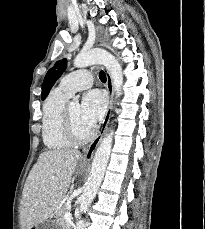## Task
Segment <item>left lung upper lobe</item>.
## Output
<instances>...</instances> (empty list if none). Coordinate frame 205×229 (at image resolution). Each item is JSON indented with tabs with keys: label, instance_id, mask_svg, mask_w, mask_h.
<instances>
[{
	"label": "left lung upper lobe",
	"instance_id": "5c2ea615",
	"mask_svg": "<svg viewBox=\"0 0 205 229\" xmlns=\"http://www.w3.org/2000/svg\"><path fill=\"white\" fill-rule=\"evenodd\" d=\"M56 68H58V70H56ZM65 68H66V60L57 61L55 66L47 72L42 85L43 100L46 98L51 87L54 85L55 81L61 76Z\"/></svg>",
	"mask_w": 205,
	"mask_h": 229
}]
</instances>
